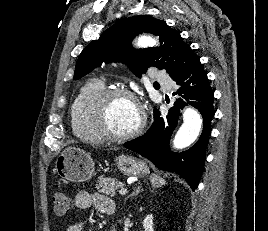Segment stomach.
<instances>
[{
	"label": "stomach",
	"mask_w": 268,
	"mask_h": 231,
	"mask_svg": "<svg viewBox=\"0 0 268 231\" xmlns=\"http://www.w3.org/2000/svg\"><path fill=\"white\" fill-rule=\"evenodd\" d=\"M116 165L119 171L126 176L144 177L149 172L144 161L131 156H119ZM55 170L62 179L80 183L91 179L94 175L95 163L90 153L81 148L69 146L58 156Z\"/></svg>",
	"instance_id": "stomach-1"
}]
</instances>
